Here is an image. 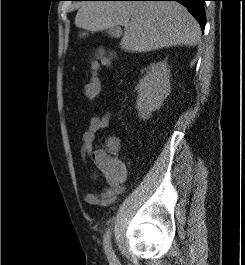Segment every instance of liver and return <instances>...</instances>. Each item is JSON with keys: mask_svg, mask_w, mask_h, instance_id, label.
<instances>
[{"mask_svg": "<svg viewBox=\"0 0 245 265\" xmlns=\"http://www.w3.org/2000/svg\"><path fill=\"white\" fill-rule=\"evenodd\" d=\"M75 25L97 32L124 26L120 46L149 52L177 45L196 46L201 28L189 11L174 1H86L78 4ZM80 33V37L86 36Z\"/></svg>", "mask_w": 245, "mask_h": 265, "instance_id": "obj_1", "label": "liver"}]
</instances>
